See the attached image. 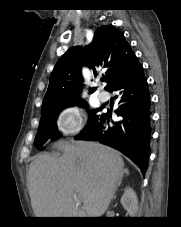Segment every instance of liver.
<instances>
[{"mask_svg":"<svg viewBox=\"0 0 181 227\" xmlns=\"http://www.w3.org/2000/svg\"><path fill=\"white\" fill-rule=\"evenodd\" d=\"M59 158L38 155L28 172L36 217H100L108 209L124 173L120 153L98 142L61 140ZM83 209L77 208V201Z\"/></svg>","mask_w":181,"mask_h":227,"instance_id":"liver-1","label":"liver"}]
</instances>
